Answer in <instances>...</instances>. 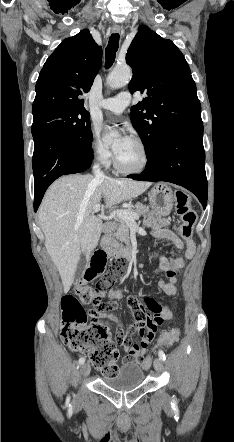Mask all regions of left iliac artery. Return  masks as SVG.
Returning <instances> with one entry per match:
<instances>
[{
    "label": "left iliac artery",
    "mask_w": 234,
    "mask_h": 442,
    "mask_svg": "<svg viewBox=\"0 0 234 442\" xmlns=\"http://www.w3.org/2000/svg\"><path fill=\"white\" fill-rule=\"evenodd\" d=\"M158 356H159L160 360H162V361L166 360V356H165V354H164V352L162 350H159ZM173 403H176V398L175 397H173Z\"/></svg>",
    "instance_id": "44dca946"
}]
</instances>
